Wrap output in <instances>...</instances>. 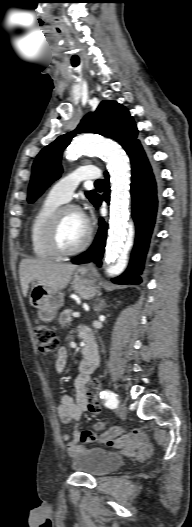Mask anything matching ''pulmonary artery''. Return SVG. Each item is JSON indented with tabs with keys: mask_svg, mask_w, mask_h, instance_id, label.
<instances>
[{
	"mask_svg": "<svg viewBox=\"0 0 192 527\" xmlns=\"http://www.w3.org/2000/svg\"><path fill=\"white\" fill-rule=\"evenodd\" d=\"M100 170L96 166L87 165L77 168L72 173L58 180L50 189L49 196L61 202L68 201L74 190L84 180H98Z\"/></svg>",
	"mask_w": 192,
	"mask_h": 527,
	"instance_id": "pulmonary-artery-1",
	"label": "pulmonary artery"
}]
</instances>
